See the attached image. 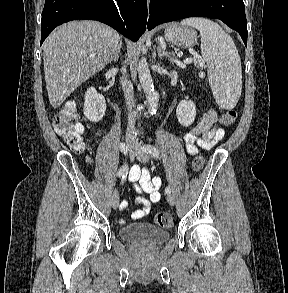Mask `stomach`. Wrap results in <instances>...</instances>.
I'll use <instances>...</instances> for the list:
<instances>
[{
    "label": "stomach",
    "mask_w": 288,
    "mask_h": 293,
    "mask_svg": "<svg viewBox=\"0 0 288 293\" xmlns=\"http://www.w3.org/2000/svg\"><path fill=\"white\" fill-rule=\"evenodd\" d=\"M165 39L178 47L189 48L197 42V32L188 26L172 24L164 32Z\"/></svg>",
    "instance_id": "obj_1"
}]
</instances>
